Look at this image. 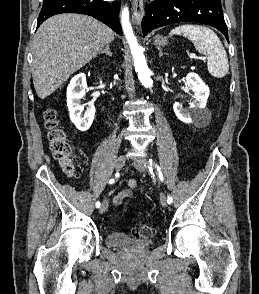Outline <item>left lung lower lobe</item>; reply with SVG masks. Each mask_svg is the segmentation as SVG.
<instances>
[{
    "label": "left lung lower lobe",
    "mask_w": 259,
    "mask_h": 294,
    "mask_svg": "<svg viewBox=\"0 0 259 294\" xmlns=\"http://www.w3.org/2000/svg\"><path fill=\"white\" fill-rule=\"evenodd\" d=\"M182 21L215 27L228 40L221 0H150L142 19L143 35L155 28Z\"/></svg>",
    "instance_id": "0a47b994"
}]
</instances>
